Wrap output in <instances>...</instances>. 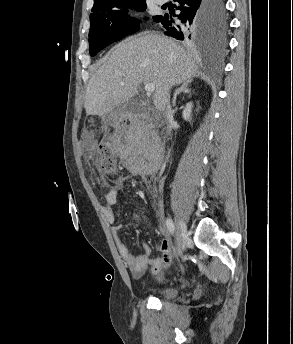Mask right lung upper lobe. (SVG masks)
<instances>
[{"instance_id": "cb5924a9", "label": "right lung upper lobe", "mask_w": 293, "mask_h": 344, "mask_svg": "<svg viewBox=\"0 0 293 344\" xmlns=\"http://www.w3.org/2000/svg\"><path fill=\"white\" fill-rule=\"evenodd\" d=\"M121 1V0H94V6L92 10L97 9L99 7H103L109 4H112L114 2Z\"/></svg>"}]
</instances>
